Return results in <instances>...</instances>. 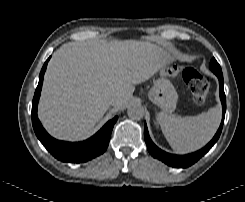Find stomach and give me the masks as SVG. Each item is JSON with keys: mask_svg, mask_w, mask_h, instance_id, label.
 <instances>
[{"mask_svg": "<svg viewBox=\"0 0 245 202\" xmlns=\"http://www.w3.org/2000/svg\"><path fill=\"white\" fill-rule=\"evenodd\" d=\"M148 98L164 112L171 113L176 108L178 94L173 84L167 78L162 77L154 82L148 92Z\"/></svg>", "mask_w": 245, "mask_h": 202, "instance_id": "stomach-1", "label": "stomach"}]
</instances>
